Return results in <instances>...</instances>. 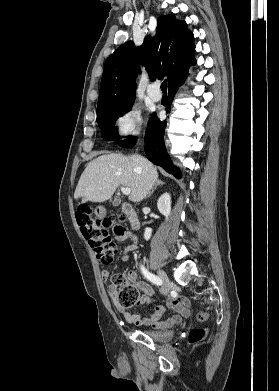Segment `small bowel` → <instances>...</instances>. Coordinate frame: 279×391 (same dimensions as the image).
I'll return each mask as SVG.
<instances>
[{
    "label": "small bowel",
    "mask_w": 279,
    "mask_h": 391,
    "mask_svg": "<svg viewBox=\"0 0 279 391\" xmlns=\"http://www.w3.org/2000/svg\"><path fill=\"white\" fill-rule=\"evenodd\" d=\"M130 236L125 234L122 237L117 238L118 241H124L128 239ZM138 249V244L134 240L132 244L126 246L123 249L121 259L123 261H128L131 257V254ZM109 273L107 270H103L101 272V278L103 281L108 279ZM129 279L135 283L138 290L142 292L139 303L141 305H155L154 311L148 317H142L139 314L130 313L126 311L124 308L118 305V311L120 312L122 318L136 326H151L154 329H167L174 326L177 323H180L183 318L190 317L194 314L191 309L190 301L184 297L173 296L168 298L166 304L157 302L153 297L154 291L152 287L143 281L136 280V274L134 272L129 273ZM109 294L111 297H116V290L114 287L109 288ZM167 308L173 309L176 314L171 316L170 318L162 321V317L166 312ZM199 319H206V313L198 314Z\"/></svg>",
    "instance_id": "small-bowel-1"
}]
</instances>
